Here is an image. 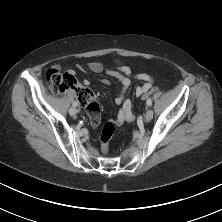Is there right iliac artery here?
<instances>
[{
    "label": "right iliac artery",
    "instance_id": "obj_1",
    "mask_svg": "<svg viewBox=\"0 0 222 222\" xmlns=\"http://www.w3.org/2000/svg\"><path fill=\"white\" fill-rule=\"evenodd\" d=\"M73 106L77 107V102L76 101L73 102Z\"/></svg>",
    "mask_w": 222,
    "mask_h": 222
}]
</instances>
